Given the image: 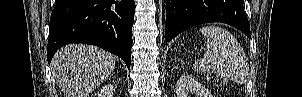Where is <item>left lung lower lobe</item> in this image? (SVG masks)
<instances>
[{"instance_id": "left-lung-lower-lobe-1", "label": "left lung lower lobe", "mask_w": 302, "mask_h": 97, "mask_svg": "<svg viewBox=\"0 0 302 97\" xmlns=\"http://www.w3.org/2000/svg\"><path fill=\"white\" fill-rule=\"evenodd\" d=\"M244 0H167L165 40L193 26L223 22L251 38L250 26L243 8Z\"/></svg>"}]
</instances>
